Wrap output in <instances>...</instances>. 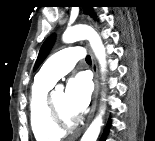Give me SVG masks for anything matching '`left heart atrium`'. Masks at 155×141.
Here are the masks:
<instances>
[{
    "label": "left heart atrium",
    "mask_w": 155,
    "mask_h": 141,
    "mask_svg": "<svg viewBox=\"0 0 155 141\" xmlns=\"http://www.w3.org/2000/svg\"><path fill=\"white\" fill-rule=\"evenodd\" d=\"M91 97V84L85 74H78L69 80L65 91V103L68 111L74 116L82 113L88 106Z\"/></svg>",
    "instance_id": "1"
}]
</instances>
